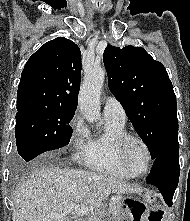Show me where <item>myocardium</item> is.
Masks as SVG:
<instances>
[{
    "label": "myocardium",
    "instance_id": "obj_1",
    "mask_svg": "<svg viewBox=\"0 0 190 221\" xmlns=\"http://www.w3.org/2000/svg\"><path fill=\"white\" fill-rule=\"evenodd\" d=\"M131 141L139 142L147 152L148 165H147L146 169L142 172H138V171L134 170L133 167L129 164V162L127 160V155H126L127 146L129 144V142H131ZM117 155H118V159H119V162L121 163V165L133 176L139 177V176H143V175L147 174L150 171L152 164H153V153H152V150H151L149 144L147 143V141L143 137H141L137 134L125 133L124 135H122L119 138V140L117 142Z\"/></svg>",
    "mask_w": 190,
    "mask_h": 221
}]
</instances>
